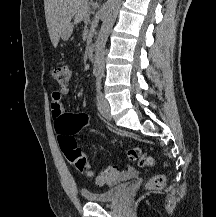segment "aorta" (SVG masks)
I'll use <instances>...</instances> for the list:
<instances>
[{
	"label": "aorta",
	"mask_w": 216,
	"mask_h": 217,
	"mask_svg": "<svg viewBox=\"0 0 216 217\" xmlns=\"http://www.w3.org/2000/svg\"><path fill=\"white\" fill-rule=\"evenodd\" d=\"M121 2L122 0H108L107 12L95 43L93 74L97 77H101L104 74L105 45L117 17Z\"/></svg>",
	"instance_id": "1"
}]
</instances>
